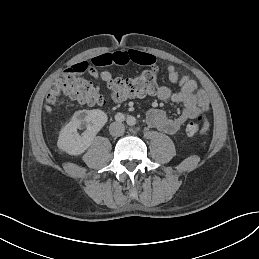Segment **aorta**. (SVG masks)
I'll use <instances>...</instances> for the list:
<instances>
[{
    "label": "aorta",
    "instance_id": "aorta-1",
    "mask_svg": "<svg viewBox=\"0 0 259 259\" xmlns=\"http://www.w3.org/2000/svg\"><path fill=\"white\" fill-rule=\"evenodd\" d=\"M127 123H128L129 125L134 124V123H135V118L132 117V116L128 117V118H127Z\"/></svg>",
    "mask_w": 259,
    "mask_h": 259
}]
</instances>
